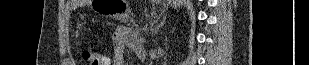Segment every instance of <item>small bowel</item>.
Segmentation results:
<instances>
[{
    "instance_id": "1",
    "label": "small bowel",
    "mask_w": 309,
    "mask_h": 65,
    "mask_svg": "<svg viewBox=\"0 0 309 65\" xmlns=\"http://www.w3.org/2000/svg\"><path fill=\"white\" fill-rule=\"evenodd\" d=\"M140 46H143L142 40L135 29L119 27L113 36V56L105 57L104 65H125L124 51L130 49L135 52Z\"/></svg>"
}]
</instances>
